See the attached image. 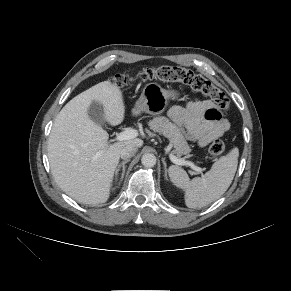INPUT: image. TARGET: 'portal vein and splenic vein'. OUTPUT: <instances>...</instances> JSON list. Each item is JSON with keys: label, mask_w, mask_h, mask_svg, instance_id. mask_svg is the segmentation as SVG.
Instances as JSON below:
<instances>
[{"label": "portal vein and splenic vein", "mask_w": 291, "mask_h": 291, "mask_svg": "<svg viewBox=\"0 0 291 291\" xmlns=\"http://www.w3.org/2000/svg\"><path fill=\"white\" fill-rule=\"evenodd\" d=\"M138 135L137 130L135 129H126L122 132H120L117 136H116V140L118 141H123V140H129V139H133ZM170 160L177 165H187L190 166L193 170L197 171L198 167L194 165V163L187 161L183 158H177L176 156H174L173 154L169 155Z\"/></svg>", "instance_id": "obj_1"}]
</instances>
